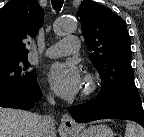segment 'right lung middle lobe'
Segmentation results:
<instances>
[{"label":"right lung middle lobe","instance_id":"1","mask_svg":"<svg viewBox=\"0 0 144 137\" xmlns=\"http://www.w3.org/2000/svg\"><path fill=\"white\" fill-rule=\"evenodd\" d=\"M38 87L35 70L30 69L27 57L0 65V90H16L33 95Z\"/></svg>","mask_w":144,"mask_h":137}]
</instances>
